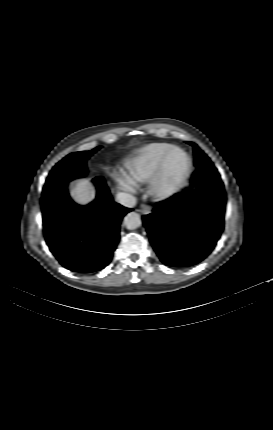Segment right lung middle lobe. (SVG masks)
Returning a JSON list of instances; mask_svg holds the SVG:
<instances>
[{"label": "right lung middle lobe", "mask_w": 273, "mask_h": 430, "mask_svg": "<svg viewBox=\"0 0 273 430\" xmlns=\"http://www.w3.org/2000/svg\"><path fill=\"white\" fill-rule=\"evenodd\" d=\"M98 149H100V147L92 151L72 153L62 159L50 172L42 194L46 195L56 188L66 185L74 178L85 176L87 173L85 162Z\"/></svg>", "instance_id": "right-lung-middle-lobe-1"}]
</instances>
